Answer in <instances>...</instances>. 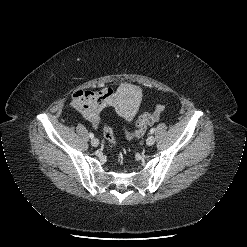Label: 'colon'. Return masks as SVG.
<instances>
[{"instance_id": "colon-1", "label": "colon", "mask_w": 247, "mask_h": 247, "mask_svg": "<svg viewBox=\"0 0 247 247\" xmlns=\"http://www.w3.org/2000/svg\"><path fill=\"white\" fill-rule=\"evenodd\" d=\"M157 119L156 111L149 110L142 114L137 121L136 129L132 132H126L129 139L139 138L146 132L147 128L152 125ZM104 137L111 144H115V136L111 127L105 126L103 129Z\"/></svg>"}]
</instances>
